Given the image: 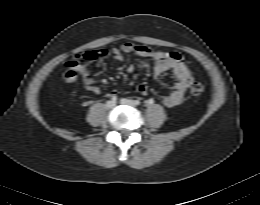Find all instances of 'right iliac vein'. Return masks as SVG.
<instances>
[{
  "label": "right iliac vein",
  "mask_w": 260,
  "mask_h": 205,
  "mask_svg": "<svg viewBox=\"0 0 260 205\" xmlns=\"http://www.w3.org/2000/svg\"><path fill=\"white\" fill-rule=\"evenodd\" d=\"M115 102H113V101H108L107 103H106V107L108 108V109H111V108H113V107H115Z\"/></svg>",
  "instance_id": "63e3f726"
}]
</instances>
